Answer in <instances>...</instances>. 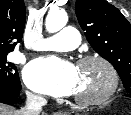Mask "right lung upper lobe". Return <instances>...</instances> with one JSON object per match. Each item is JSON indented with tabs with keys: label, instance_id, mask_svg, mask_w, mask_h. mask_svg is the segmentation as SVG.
<instances>
[{
	"label": "right lung upper lobe",
	"instance_id": "1",
	"mask_svg": "<svg viewBox=\"0 0 131 115\" xmlns=\"http://www.w3.org/2000/svg\"><path fill=\"white\" fill-rule=\"evenodd\" d=\"M25 21L23 0H0V53L13 51L22 40Z\"/></svg>",
	"mask_w": 131,
	"mask_h": 115
}]
</instances>
